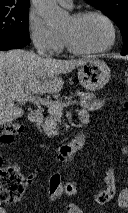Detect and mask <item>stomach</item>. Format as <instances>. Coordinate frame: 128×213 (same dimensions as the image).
Wrapping results in <instances>:
<instances>
[{
  "label": "stomach",
  "mask_w": 128,
  "mask_h": 213,
  "mask_svg": "<svg viewBox=\"0 0 128 213\" xmlns=\"http://www.w3.org/2000/svg\"><path fill=\"white\" fill-rule=\"evenodd\" d=\"M110 76V68L100 60H87L78 70L80 84L90 91L104 87Z\"/></svg>",
  "instance_id": "stomach-1"
}]
</instances>
